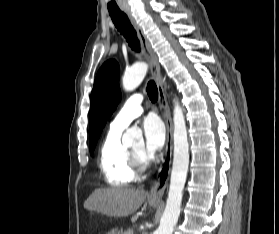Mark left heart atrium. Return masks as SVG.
I'll use <instances>...</instances> for the list:
<instances>
[{
  "mask_svg": "<svg viewBox=\"0 0 279 234\" xmlns=\"http://www.w3.org/2000/svg\"><path fill=\"white\" fill-rule=\"evenodd\" d=\"M145 138L144 153L152 157L159 151L165 141V129L161 120L156 116H148L142 123Z\"/></svg>",
  "mask_w": 279,
  "mask_h": 234,
  "instance_id": "39dd6f15",
  "label": "left heart atrium"
}]
</instances>
